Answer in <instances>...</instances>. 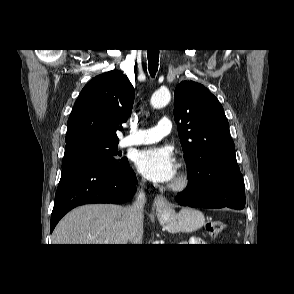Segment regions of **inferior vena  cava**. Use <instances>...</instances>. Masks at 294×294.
Here are the masks:
<instances>
[{
    "label": "inferior vena cava",
    "instance_id": "inferior-vena-cava-1",
    "mask_svg": "<svg viewBox=\"0 0 294 294\" xmlns=\"http://www.w3.org/2000/svg\"><path fill=\"white\" fill-rule=\"evenodd\" d=\"M145 193L141 190L134 203L127 207L129 241L131 244H142Z\"/></svg>",
    "mask_w": 294,
    "mask_h": 294
}]
</instances>
